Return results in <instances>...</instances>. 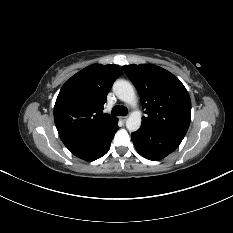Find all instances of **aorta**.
Wrapping results in <instances>:
<instances>
[{
    "mask_svg": "<svg viewBox=\"0 0 233 233\" xmlns=\"http://www.w3.org/2000/svg\"><path fill=\"white\" fill-rule=\"evenodd\" d=\"M113 92L121 101L128 103L132 107H135L137 104L136 94L134 87L130 82L119 79L116 80L113 84ZM142 122L141 112L133 111L126 120V128L130 132H135L139 130Z\"/></svg>",
    "mask_w": 233,
    "mask_h": 233,
    "instance_id": "1",
    "label": "aorta"
}]
</instances>
